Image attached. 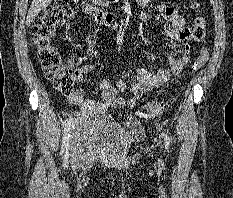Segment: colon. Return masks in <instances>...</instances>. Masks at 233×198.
<instances>
[{
	"mask_svg": "<svg viewBox=\"0 0 233 198\" xmlns=\"http://www.w3.org/2000/svg\"><path fill=\"white\" fill-rule=\"evenodd\" d=\"M78 0H55L53 4L46 7L43 13L37 17L31 27L33 42L37 50V58L46 78L59 92L70 95L81 78L78 70L65 67L61 56L53 44L56 30L63 25L65 20L71 17L77 9ZM198 2L192 1V7L197 8ZM205 33V20L197 16L192 28V38L201 40ZM209 58V51L203 48L192 67L191 73L201 69ZM145 109L152 115H160L167 109V103L163 101H150L146 103Z\"/></svg>",
	"mask_w": 233,
	"mask_h": 198,
	"instance_id": "colon-1",
	"label": "colon"
}]
</instances>
